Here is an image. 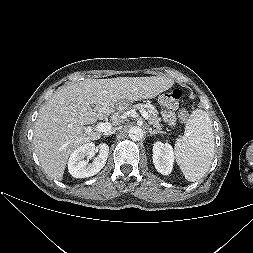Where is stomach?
I'll use <instances>...</instances> for the list:
<instances>
[{
  "label": "stomach",
  "instance_id": "0dacf381",
  "mask_svg": "<svg viewBox=\"0 0 253 253\" xmlns=\"http://www.w3.org/2000/svg\"><path fill=\"white\" fill-rule=\"evenodd\" d=\"M167 101H168V95H165V94L161 95L160 102L165 105ZM131 107H132V102L128 98L119 99L115 103V108L119 112L128 111L131 109Z\"/></svg>",
  "mask_w": 253,
  "mask_h": 253
}]
</instances>
